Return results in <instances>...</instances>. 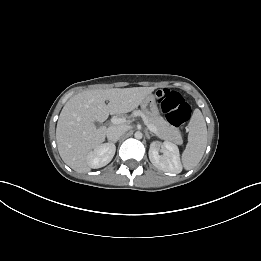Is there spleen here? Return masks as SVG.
<instances>
[{"mask_svg": "<svg viewBox=\"0 0 261 261\" xmlns=\"http://www.w3.org/2000/svg\"><path fill=\"white\" fill-rule=\"evenodd\" d=\"M188 143L182 154L186 170L194 168L203 157L207 145V127L200 110L196 109L189 123Z\"/></svg>", "mask_w": 261, "mask_h": 261, "instance_id": "spleen-1", "label": "spleen"}]
</instances>
